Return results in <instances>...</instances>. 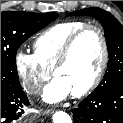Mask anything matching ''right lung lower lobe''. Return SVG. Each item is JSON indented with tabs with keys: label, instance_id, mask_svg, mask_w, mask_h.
Segmentation results:
<instances>
[{
	"label": "right lung lower lobe",
	"instance_id": "98d812e1",
	"mask_svg": "<svg viewBox=\"0 0 123 123\" xmlns=\"http://www.w3.org/2000/svg\"><path fill=\"white\" fill-rule=\"evenodd\" d=\"M27 105L29 101L21 85L1 86V123H19L23 107Z\"/></svg>",
	"mask_w": 123,
	"mask_h": 123
}]
</instances>
